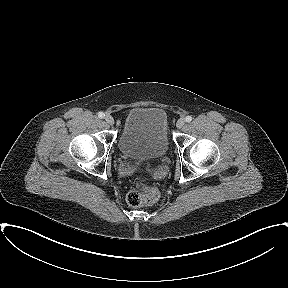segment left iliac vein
<instances>
[{
    "mask_svg": "<svg viewBox=\"0 0 288 288\" xmlns=\"http://www.w3.org/2000/svg\"><path fill=\"white\" fill-rule=\"evenodd\" d=\"M177 128L181 129L184 125H185V119L184 118H180L178 121H177Z\"/></svg>",
    "mask_w": 288,
    "mask_h": 288,
    "instance_id": "obj_1",
    "label": "left iliac vein"
}]
</instances>
